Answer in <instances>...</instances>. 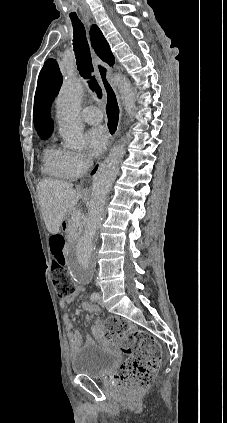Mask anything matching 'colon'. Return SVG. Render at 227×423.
Listing matches in <instances>:
<instances>
[{
  "label": "colon",
  "mask_w": 227,
  "mask_h": 423,
  "mask_svg": "<svg viewBox=\"0 0 227 423\" xmlns=\"http://www.w3.org/2000/svg\"><path fill=\"white\" fill-rule=\"evenodd\" d=\"M53 255L52 274L61 297L76 292V286L66 268L65 239L61 234L50 238ZM110 335L121 339V348L128 358L119 369L118 378L128 394L145 391L153 382L161 363V347L157 340L144 330L131 327L124 321L111 317L107 320Z\"/></svg>",
  "instance_id": "1"
}]
</instances>
